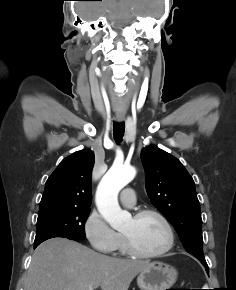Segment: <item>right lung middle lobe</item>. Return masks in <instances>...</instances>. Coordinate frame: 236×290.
<instances>
[{"mask_svg":"<svg viewBox=\"0 0 236 290\" xmlns=\"http://www.w3.org/2000/svg\"><path fill=\"white\" fill-rule=\"evenodd\" d=\"M90 208L48 207L40 209L34 244L63 237L70 240L85 239V222Z\"/></svg>","mask_w":236,"mask_h":290,"instance_id":"right-lung-middle-lobe-1","label":"right lung middle lobe"}]
</instances>
